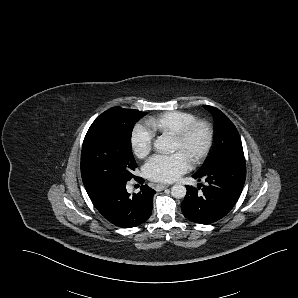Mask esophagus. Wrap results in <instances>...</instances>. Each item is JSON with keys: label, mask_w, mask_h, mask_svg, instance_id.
<instances>
[{"label": "esophagus", "mask_w": 298, "mask_h": 298, "mask_svg": "<svg viewBox=\"0 0 298 298\" xmlns=\"http://www.w3.org/2000/svg\"><path fill=\"white\" fill-rule=\"evenodd\" d=\"M167 187H168V185H166V184H157L155 186L156 190H163V189H165Z\"/></svg>", "instance_id": "obj_1"}]
</instances>
